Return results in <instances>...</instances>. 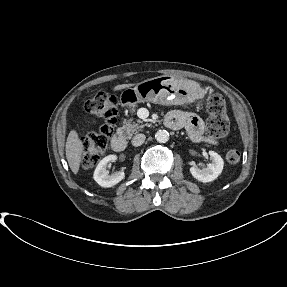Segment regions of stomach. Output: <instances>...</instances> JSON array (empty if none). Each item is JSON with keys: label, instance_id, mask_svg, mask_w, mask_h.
<instances>
[{"label": "stomach", "instance_id": "stomach-1", "mask_svg": "<svg viewBox=\"0 0 287 287\" xmlns=\"http://www.w3.org/2000/svg\"><path fill=\"white\" fill-rule=\"evenodd\" d=\"M199 92L186 80L172 75H162L138 83L134 88L125 89L120 95L123 107L134 108L140 102L162 105H181L193 102Z\"/></svg>", "mask_w": 287, "mask_h": 287}]
</instances>
